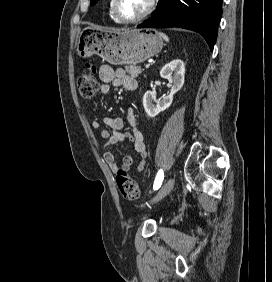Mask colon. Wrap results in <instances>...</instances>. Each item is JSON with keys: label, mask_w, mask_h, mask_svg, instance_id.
Masks as SVG:
<instances>
[{"label": "colon", "mask_w": 272, "mask_h": 282, "mask_svg": "<svg viewBox=\"0 0 272 282\" xmlns=\"http://www.w3.org/2000/svg\"><path fill=\"white\" fill-rule=\"evenodd\" d=\"M101 86L96 76V67L87 63L85 72L78 78V90L81 98L86 100L92 99L101 89ZM116 183L119 193L124 199L133 201L139 198L138 184L125 170H117Z\"/></svg>", "instance_id": "obj_1"}]
</instances>
